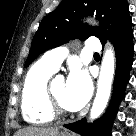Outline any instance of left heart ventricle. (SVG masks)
<instances>
[{
    "label": "left heart ventricle",
    "mask_w": 136,
    "mask_h": 136,
    "mask_svg": "<svg viewBox=\"0 0 136 136\" xmlns=\"http://www.w3.org/2000/svg\"><path fill=\"white\" fill-rule=\"evenodd\" d=\"M52 91L57 98V100L61 103V105L68 109L64 102V94H65V83L61 81L52 83Z\"/></svg>",
    "instance_id": "left-heart-ventricle-1"
}]
</instances>
